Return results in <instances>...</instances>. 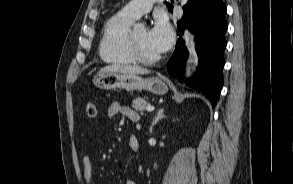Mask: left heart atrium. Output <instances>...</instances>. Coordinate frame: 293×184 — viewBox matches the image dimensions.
Segmentation results:
<instances>
[{
  "instance_id": "left-heart-atrium-1",
  "label": "left heart atrium",
  "mask_w": 293,
  "mask_h": 184,
  "mask_svg": "<svg viewBox=\"0 0 293 184\" xmlns=\"http://www.w3.org/2000/svg\"><path fill=\"white\" fill-rule=\"evenodd\" d=\"M173 29L165 19H157L147 32L150 45L157 53L165 52L173 42Z\"/></svg>"
}]
</instances>
